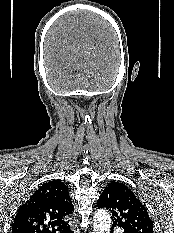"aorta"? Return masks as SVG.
Masks as SVG:
<instances>
[{"instance_id": "1", "label": "aorta", "mask_w": 174, "mask_h": 233, "mask_svg": "<svg viewBox=\"0 0 174 233\" xmlns=\"http://www.w3.org/2000/svg\"><path fill=\"white\" fill-rule=\"evenodd\" d=\"M94 233H110L111 218L105 209H99L93 217Z\"/></svg>"}]
</instances>
